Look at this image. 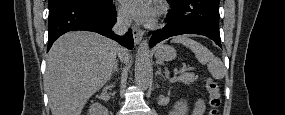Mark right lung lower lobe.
<instances>
[{"label": "right lung lower lobe", "instance_id": "98d812e1", "mask_svg": "<svg viewBox=\"0 0 285 115\" xmlns=\"http://www.w3.org/2000/svg\"><path fill=\"white\" fill-rule=\"evenodd\" d=\"M116 23V11L112 0L103 4H92L82 0H65L49 7V50L53 42L68 31L87 30L118 41L121 45L132 49L134 40L131 29L118 36L112 32Z\"/></svg>", "mask_w": 285, "mask_h": 115}]
</instances>
